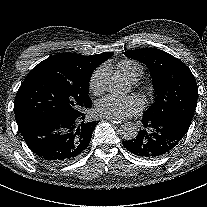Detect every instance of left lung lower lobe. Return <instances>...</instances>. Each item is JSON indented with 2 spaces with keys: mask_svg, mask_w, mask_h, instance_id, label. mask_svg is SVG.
Listing matches in <instances>:
<instances>
[{
  "mask_svg": "<svg viewBox=\"0 0 207 207\" xmlns=\"http://www.w3.org/2000/svg\"><path fill=\"white\" fill-rule=\"evenodd\" d=\"M141 122L143 127L138 135L122 143L131 153L145 158H156L169 153L189 129L172 117L143 116Z\"/></svg>",
  "mask_w": 207,
  "mask_h": 207,
  "instance_id": "left-lung-lower-lobe-1",
  "label": "left lung lower lobe"
}]
</instances>
